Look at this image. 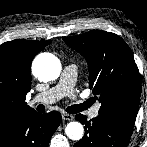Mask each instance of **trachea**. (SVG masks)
<instances>
[{
  "mask_svg": "<svg viewBox=\"0 0 147 147\" xmlns=\"http://www.w3.org/2000/svg\"><path fill=\"white\" fill-rule=\"evenodd\" d=\"M88 106H89V104L87 102H84L83 104H77V105L69 106L66 109V111L68 113L74 114V113H78V112L85 110Z\"/></svg>",
  "mask_w": 147,
  "mask_h": 147,
  "instance_id": "trachea-1",
  "label": "trachea"
}]
</instances>
